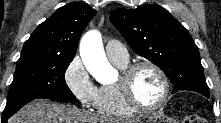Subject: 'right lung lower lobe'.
I'll list each match as a JSON object with an SVG mask.
<instances>
[{"label":"right lung lower lobe","instance_id":"1","mask_svg":"<svg viewBox=\"0 0 221 123\" xmlns=\"http://www.w3.org/2000/svg\"><path fill=\"white\" fill-rule=\"evenodd\" d=\"M8 118V116L2 117L3 120H7Z\"/></svg>","mask_w":221,"mask_h":123}]
</instances>
